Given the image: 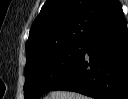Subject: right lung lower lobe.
Segmentation results:
<instances>
[{
  "mask_svg": "<svg viewBox=\"0 0 128 99\" xmlns=\"http://www.w3.org/2000/svg\"><path fill=\"white\" fill-rule=\"evenodd\" d=\"M52 90L75 91L96 99H127L128 31L122 8L83 41L78 64Z\"/></svg>",
  "mask_w": 128,
  "mask_h": 99,
  "instance_id": "98d812e1",
  "label": "right lung lower lobe"
}]
</instances>
